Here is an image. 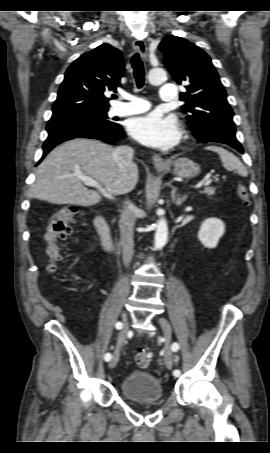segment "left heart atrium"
Masks as SVG:
<instances>
[{
	"instance_id": "1",
	"label": "left heart atrium",
	"mask_w": 270,
	"mask_h": 453,
	"mask_svg": "<svg viewBox=\"0 0 270 453\" xmlns=\"http://www.w3.org/2000/svg\"><path fill=\"white\" fill-rule=\"evenodd\" d=\"M128 131L140 143L159 149L173 147L181 135L175 118L159 113L132 119L128 124Z\"/></svg>"
}]
</instances>
